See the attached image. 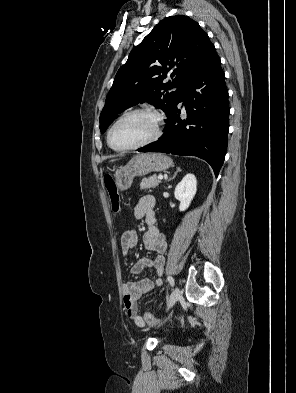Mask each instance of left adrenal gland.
I'll return each instance as SVG.
<instances>
[{"label": "left adrenal gland", "instance_id": "1", "mask_svg": "<svg viewBox=\"0 0 296 393\" xmlns=\"http://www.w3.org/2000/svg\"><path fill=\"white\" fill-rule=\"evenodd\" d=\"M180 171H181V169H180V168H177V170H176V172L174 173V175H173L172 178L176 177V175H177Z\"/></svg>", "mask_w": 296, "mask_h": 393}]
</instances>
